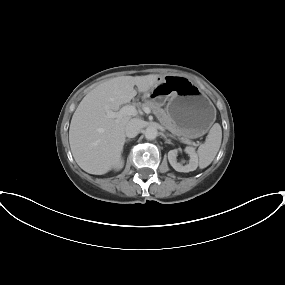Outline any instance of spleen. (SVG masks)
I'll list each match as a JSON object with an SVG mask.
<instances>
[{
    "label": "spleen",
    "mask_w": 285,
    "mask_h": 285,
    "mask_svg": "<svg viewBox=\"0 0 285 285\" xmlns=\"http://www.w3.org/2000/svg\"><path fill=\"white\" fill-rule=\"evenodd\" d=\"M222 141V129L220 124L215 123L210 129L206 141L197 150L199 167L201 169L209 166L216 157Z\"/></svg>",
    "instance_id": "1"
}]
</instances>
